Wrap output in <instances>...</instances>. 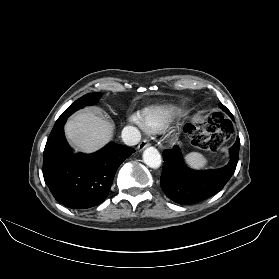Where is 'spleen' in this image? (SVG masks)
<instances>
[{"label":"spleen","instance_id":"3e777b00","mask_svg":"<svg viewBox=\"0 0 279 279\" xmlns=\"http://www.w3.org/2000/svg\"><path fill=\"white\" fill-rule=\"evenodd\" d=\"M185 160L189 166L195 169H202L207 164L206 158L198 152H191L187 154Z\"/></svg>","mask_w":279,"mask_h":279}]
</instances>
